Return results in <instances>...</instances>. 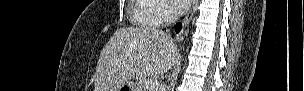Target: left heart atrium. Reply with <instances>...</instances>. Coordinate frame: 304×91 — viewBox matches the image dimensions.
I'll return each mask as SVG.
<instances>
[{
  "mask_svg": "<svg viewBox=\"0 0 304 91\" xmlns=\"http://www.w3.org/2000/svg\"><path fill=\"white\" fill-rule=\"evenodd\" d=\"M171 7L176 12H184L186 11L190 6V0H170Z\"/></svg>",
  "mask_w": 304,
  "mask_h": 91,
  "instance_id": "left-heart-atrium-1",
  "label": "left heart atrium"
}]
</instances>
